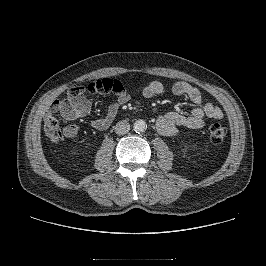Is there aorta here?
<instances>
[{"instance_id": "762f6f07", "label": "aorta", "mask_w": 266, "mask_h": 266, "mask_svg": "<svg viewBox=\"0 0 266 266\" xmlns=\"http://www.w3.org/2000/svg\"><path fill=\"white\" fill-rule=\"evenodd\" d=\"M134 131L137 133L144 132L147 128L146 122L144 120H137L133 125Z\"/></svg>"}]
</instances>
